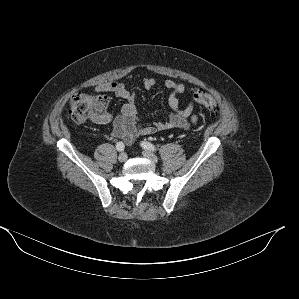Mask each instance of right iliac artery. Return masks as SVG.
Instances as JSON below:
<instances>
[{
    "instance_id": "82829eb1",
    "label": "right iliac artery",
    "mask_w": 299,
    "mask_h": 299,
    "mask_svg": "<svg viewBox=\"0 0 299 299\" xmlns=\"http://www.w3.org/2000/svg\"><path fill=\"white\" fill-rule=\"evenodd\" d=\"M124 148H125V145H124L123 142H118V143L116 144V149H117L118 151H123Z\"/></svg>"
}]
</instances>
